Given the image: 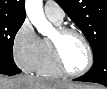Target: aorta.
<instances>
[{
  "label": "aorta",
  "instance_id": "obj_1",
  "mask_svg": "<svg viewBox=\"0 0 107 89\" xmlns=\"http://www.w3.org/2000/svg\"><path fill=\"white\" fill-rule=\"evenodd\" d=\"M26 14L39 33L49 36L54 32L53 25L46 19L42 0H26Z\"/></svg>",
  "mask_w": 107,
  "mask_h": 89
}]
</instances>
